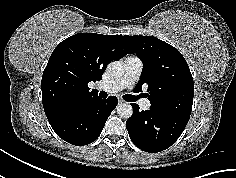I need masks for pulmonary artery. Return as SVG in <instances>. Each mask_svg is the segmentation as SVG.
Listing matches in <instances>:
<instances>
[{
    "label": "pulmonary artery",
    "instance_id": "e3ab8cb5",
    "mask_svg": "<svg viewBox=\"0 0 236 178\" xmlns=\"http://www.w3.org/2000/svg\"><path fill=\"white\" fill-rule=\"evenodd\" d=\"M143 69V63L138 57H128L124 61V74L121 78L103 83L99 88L107 93H116L126 87H130L139 79ZM139 105L142 109L150 108L151 103L148 99H140Z\"/></svg>",
    "mask_w": 236,
    "mask_h": 178
}]
</instances>
